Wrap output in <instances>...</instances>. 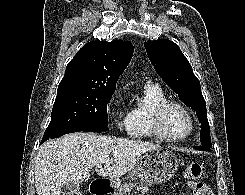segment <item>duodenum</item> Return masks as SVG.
I'll return each mask as SVG.
<instances>
[{"instance_id":"obj_1","label":"duodenum","mask_w":245,"mask_h":195,"mask_svg":"<svg viewBox=\"0 0 245 195\" xmlns=\"http://www.w3.org/2000/svg\"><path fill=\"white\" fill-rule=\"evenodd\" d=\"M112 188L102 180H95L90 184L91 195H110Z\"/></svg>"}]
</instances>
